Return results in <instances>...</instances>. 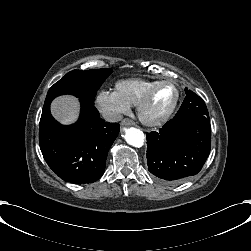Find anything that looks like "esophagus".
I'll return each instance as SVG.
<instances>
[{
	"label": "esophagus",
	"mask_w": 251,
	"mask_h": 251,
	"mask_svg": "<svg viewBox=\"0 0 251 251\" xmlns=\"http://www.w3.org/2000/svg\"><path fill=\"white\" fill-rule=\"evenodd\" d=\"M121 126L123 127H127V126H133L135 123L132 119L130 118H124L122 121H121Z\"/></svg>",
	"instance_id": "esophagus-1"
}]
</instances>
